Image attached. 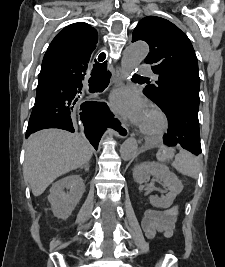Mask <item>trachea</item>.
I'll use <instances>...</instances> for the list:
<instances>
[{"label":"trachea","instance_id":"3493384b","mask_svg":"<svg viewBox=\"0 0 225 267\" xmlns=\"http://www.w3.org/2000/svg\"><path fill=\"white\" fill-rule=\"evenodd\" d=\"M134 77H141V76H139V75L135 74V75H134Z\"/></svg>","mask_w":225,"mask_h":267}]
</instances>
